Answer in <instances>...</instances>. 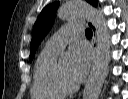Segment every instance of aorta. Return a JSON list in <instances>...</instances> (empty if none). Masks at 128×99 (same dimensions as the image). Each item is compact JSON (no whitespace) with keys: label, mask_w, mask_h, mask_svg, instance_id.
Returning a JSON list of instances; mask_svg holds the SVG:
<instances>
[{"label":"aorta","mask_w":128,"mask_h":99,"mask_svg":"<svg viewBox=\"0 0 128 99\" xmlns=\"http://www.w3.org/2000/svg\"><path fill=\"white\" fill-rule=\"evenodd\" d=\"M89 16L93 19L97 29V54L92 70L83 91V99H98L103 83L107 75L110 62L111 35L104 15L96 8L82 0H70L58 11V17L62 20H71ZM71 53L62 52L60 61H69Z\"/></svg>","instance_id":"obj_1"}]
</instances>
